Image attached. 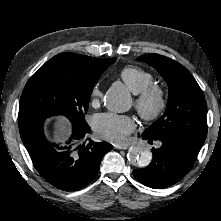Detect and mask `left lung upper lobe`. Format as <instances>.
Returning a JSON list of instances; mask_svg holds the SVG:
<instances>
[{"label":"left lung upper lobe","mask_w":221,"mask_h":221,"mask_svg":"<svg viewBox=\"0 0 221 221\" xmlns=\"http://www.w3.org/2000/svg\"><path fill=\"white\" fill-rule=\"evenodd\" d=\"M137 60L153 66L169 87L165 113L143 135L155 140H182L201 148L207 135L206 102L196 80L184 66L168 57L146 54Z\"/></svg>","instance_id":"1"}]
</instances>
